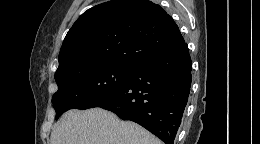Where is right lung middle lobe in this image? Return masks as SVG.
I'll return each instance as SVG.
<instances>
[{
	"instance_id": "1",
	"label": "right lung middle lobe",
	"mask_w": 260,
	"mask_h": 144,
	"mask_svg": "<svg viewBox=\"0 0 260 144\" xmlns=\"http://www.w3.org/2000/svg\"><path fill=\"white\" fill-rule=\"evenodd\" d=\"M132 67L105 64L55 76L58 91L52 104L56 120L69 109H88L117 92L127 81Z\"/></svg>"
}]
</instances>
